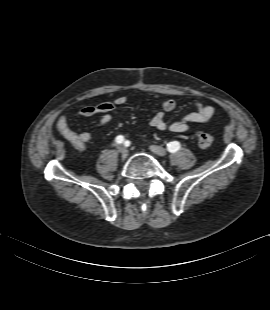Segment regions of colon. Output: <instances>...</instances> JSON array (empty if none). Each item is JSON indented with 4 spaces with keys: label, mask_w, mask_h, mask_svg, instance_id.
<instances>
[{
    "label": "colon",
    "mask_w": 270,
    "mask_h": 310,
    "mask_svg": "<svg viewBox=\"0 0 270 310\" xmlns=\"http://www.w3.org/2000/svg\"><path fill=\"white\" fill-rule=\"evenodd\" d=\"M197 139L199 146L203 148H207L213 143L212 135L207 132H200L197 136ZM71 142L74 144V146H77L79 143L76 137H72Z\"/></svg>",
    "instance_id": "colon-1"
}]
</instances>
